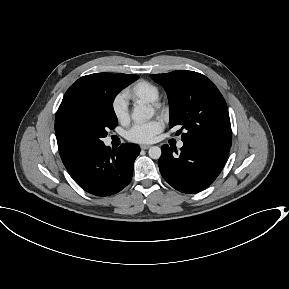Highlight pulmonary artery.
I'll return each mask as SVG.
<instances>
[{
    "instance_id": "e3ab8cb5",
    "label": "pulmonary artery",
    "mask_w": 289,
    "mask_h": 289,
    "mask_svg": "<svg viewBox=\"0 0 289 289\" xmlns=\"http://www.w3.org/2000/svg\"><path fill=\"white\" fill-rule=\"evenodd\" d=\"M178 147H179V148L183 147V142H182V141H180V142L178 143Z\"/></svg>"
}]
</instances>
